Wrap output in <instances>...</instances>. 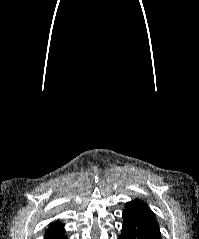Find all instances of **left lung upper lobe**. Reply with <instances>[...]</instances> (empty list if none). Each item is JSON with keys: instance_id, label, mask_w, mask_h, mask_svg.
I'll return each mask as SVG.
<instances>
[{"instance_id": "left-lung-upper-lobe-1", "label": "left lung upper lobe", "mask_w": 199, "mask_h": 239, "mask_svg": "<svg viewBox=\"0 0 199 239\" xmlns=\"http://www.w3.org/2000/svg\"><path fill=\"white\" fill-rule=\"evenodd\" d=\"M125 208L126 210L134 211L138 214L145 216L146 218L150 219L151 221H153L154 223L158 225V222L153 212L144 202L139 200L131 201L125 204Z\"/></svg>"}]
</instances>
